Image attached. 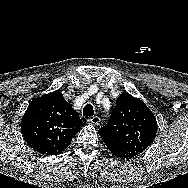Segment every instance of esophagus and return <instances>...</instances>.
I'll return each instance as SVG.
<instances>
[{"instance_id":"1","label":"esophagus","mask_w":188,"mask_h":188,"mask_svg":"<svg viewBox=\"0 0 188 188\" xmlns=\"http://www.w3.org/2000/svg\"><path fill=\"white\" fill-rule=\"evenodd\" d=\"M101 119L98 116L90 117L87 119V122L93 125H98Z\"/></svg>"}]
</instances>
